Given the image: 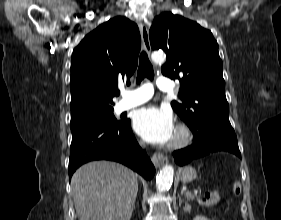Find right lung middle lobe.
Segmentation results:
<instances>
[{
    "instance_id": "1",
    "label": "right lung middle lobe",
    "mask_w": 281,
    "mask_h": 220,
    "mask_svg": "<svg viewBox=\"0 0 281 220\" xmlns=\"http://www.w3.org/2000/svg\"><path fill=\"white\" fill-rule=\"evenodd\" d=\"M125 122V119L117 120L113 115V109L89 114L86 116L73 118L70 122L71 131L74 132L81 128L91 126H120Z\"/></svg>"
}]
</instances>
